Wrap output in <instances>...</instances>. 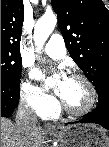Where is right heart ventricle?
<instances>
[{
	"label": "right heart ventricle",
	"instance_id": "1",
	"mask_svg": "<svg viewBox=\"0 0 109 147\" xmlns=\"http://www.w3.org/2000/svg\"><path fill=\"white\" fill-rule=\"evenodd\" d=\"M56 112H57V109H56V108H53V109H51V110L42 112V113L40 114V116H41V117L43 116V117H45V119H47V118H50V117L55 116Z\"/></svg>",
	"mask_w": 109,
	"mask_h": 147
}]
</instances>
